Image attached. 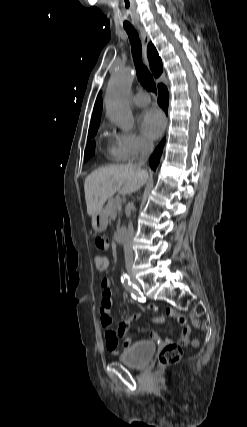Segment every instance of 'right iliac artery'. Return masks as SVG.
<instances>
[{
	"label": "right iliac artery",
	"instance_id": "right-iliac-artery-1",
	"mask_svg": "<svg viewBox=\"0 0 247 427\" xmlns=\"http://www.w3.org/2000/svg\"><path fill=\"white\" fill-rule=\"evenodd\" d=\"M121 282L124 288L131 294L134 299H137L140 302H145L146 298L143 293L138 289V287L131 283L129 276L123 275L121 277Z\"/></svg>",
	"mask_w": 247,
	"mask_h": 427
}]
</instances>
